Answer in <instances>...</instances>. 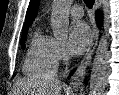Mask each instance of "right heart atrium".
Returning a JSON list of instances; mask_svg holds the SVG:
<instances>
[{
	"instance_id": "d8ad5b80",
	"label": "right heart atrium",
	"mask_w": 119,
	"mask_h": 95,
	"mask_svg": "<svg viewBox=\"0 0 119 95\" xmlns=\"http://www.w3.org/2000/svg\"><path fill=\"white\" fill-rule=\"evenodd\" d=\"M55 55L57 62L64 61L67 57L65 45L55 40Z\"/></svg>"
}]
</instances>
